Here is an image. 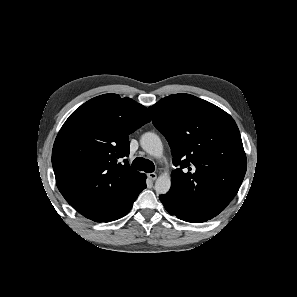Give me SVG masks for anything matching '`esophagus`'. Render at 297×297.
<instances>
[{
	"mask_svg": "<svg viewBox=\"0 0 297 297\" xmlns=\"http://www.w3.org/2000/svg\"><path fill=\"white\" fill-rule=\"evenodd\" d=\"M147 176L152 181L156 180V178H157V174L156 173H149Z\"/></svg>",
	"mask_w": 297,
	"mask_h": 297,
	"instance_id": "34e87169",
	"label": "esophagus"
}]
</instances>
